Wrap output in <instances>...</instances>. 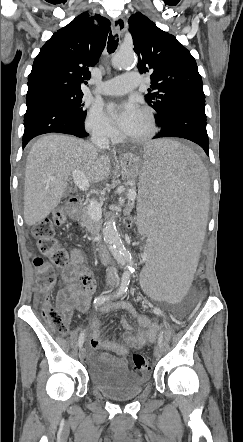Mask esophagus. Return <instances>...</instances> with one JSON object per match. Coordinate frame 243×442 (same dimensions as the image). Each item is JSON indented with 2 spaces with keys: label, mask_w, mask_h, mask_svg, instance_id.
<instances>
[{
  "label": "esophagus",
  "mask_w": 243,
  "mask_h": 442,
  "mask_svg": "<svg viewBox=\"0 0 243 442\" xmlns=\"http://www.w3.org/2000/svg\"><path fill=\"white\" fill-rule=\"evenodd\" d=\"M112 28H113V31L116 35H118L119 37H122L124 29H125L124 18L123 17L115 18L112 23Z\"/></svg>",
  "instance_id": "1"
}]
</instances>
